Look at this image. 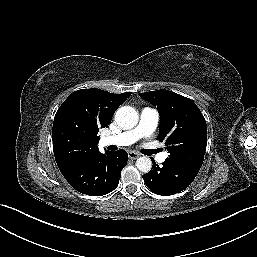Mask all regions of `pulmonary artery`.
<instances>
[{"label": "pulmonary artery", "instance_id": "1", "mask_svg": "<svg viewBox=\"0 0 257 257\" xmlns=\"http://www.w3.org/2000/svg\"><path fill=\"white\" fill-rule=\"evenodd\" d=\"M159 123V113L156 109L145 107L140 112L137 126L131 130L102 138L103 145L128 146L132 145L141 138L150 136L157 128ZM167 153L163 152L157 156V161H165Z\"/></svg>", "mask_w": 257, "mask_h": 257}]
</instances>
